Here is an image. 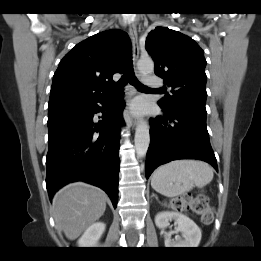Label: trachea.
Returning a JSON list of instances; mask_svg holds the SVG:
<instances>
[{
    "instance_id": "trachea-1",
    "label": "trachea",
    "mask_w": 261,
    "mask_h": 261,
    "mask_svg": "<svg viewBox=\"0 0 261 261\" xmlns=\"http://www.w3.org/2000/svg\"><path fill=\"white\" fill-rule=\"evenodd\" d=\"M130 83L138 90H148L150 88L146 87L142 83H140L134 75L133 67H132V60L131 58L128 59L126 66H125V73L121 77V79L117 82L115 88L122 89L127 83Z\"/></svg>"
}]
</instances>
